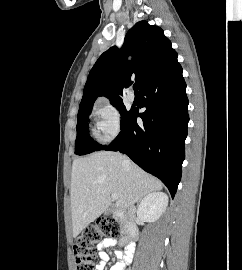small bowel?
Masks as SVG:
<instances>
[{
    "mask_svg": "<svg viewBox=\"0 0 242 270\" xmlns=\"http://www.w3.org/2000/svg\"><path fill=\"white\" fill-rule=\"evenodd\" d=\"M116 244V241L113 239H106L104 240L101 245L100 249L108 246H114ZM115 257L117 259V262L113 265L111 270H125L127 264L130 261V258L127 254H125L122 250L115 251ZM99 263L96 266V270H104L105 265L107 261L109 260L108 255L104 251L99 252Z\"/></svg>",
    "mask_w": 242,
    "mask_h": 270,
    "instance_id": "c3829d8e",
    "label": "small bowel"
}]
</instances>
